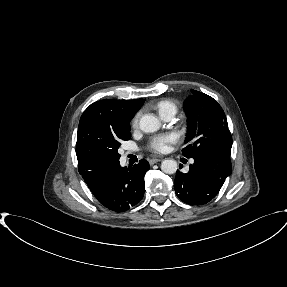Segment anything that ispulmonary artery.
I'll return each instance as SVG.
<instances>
[{
  "instance_id": "e3ab8cb5",
  "label": "pulmonary artery",
  "mask_w": 287,
  "mask_h": 287,
  "mask_svg": "<svg viewBox=\"0 0 287 287\" xmlns=\"http://www.w3.org/2000/svg\"><path fill=\"white\" fill-rule=\"evenodd\" d=\"M174 115H175V113H173V112H167V113L161 115V117L166 121H170L174 118Z\"/></svg>"
}]
</instances>
